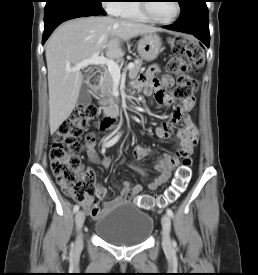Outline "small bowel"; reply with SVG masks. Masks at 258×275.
<instances>
[{"label":"small bowel","instance_id":"small-bowel-1","mask_svg":"<svg viewBox=\"0 0 258 275\" xmlns=\"http://www.w3.org/2000/svg\"><path fill=\"white\" fill-rule=\"evenodd\" d=\"M159 72V66L152 65L147 69L141 78L133 82L132 86L134 88L141 87L145 95H149L155 91L158 103L162 106H169L172 103V99L166 90L173 86L174 79L170 75H164L159 81L157 78ZM193 105L194 98H190L189 100L184 101L180 106L174 109L167 122L156 128V135L159 138L167 139L170 137L169 128L179 121L183 122V126L178 129L176 133L177 138L181 142V146L174 154L164 153L158 157L155 164V169L159 174L149 183V190H156L161 185L167 183L171 177L173 169L179 164L180 158L190 155L196 146L198 140V130L189 116V111L192 109ZM111 125L107 128H99V130H107L111 127ZM95 146V138L87 139L86 153L89 160L93 163L101 164L103 167L108 168L111 164V159L108 157H104L102 159L99 158ZM150 154L151 150L147 147L142 145H136L134 147V158L136 161H139L149 156ZM129 165L143 178L147 177L148 174L144 167L136 162H130ZM142 191L143 187L140 184L132 185L125 180L122 182V197H117L111 201L105 202L103 209H101L98 202L94 201L92 198L81 202V205L87 213H89L93 218L97 219L102 217L106 212L122 204L124 201H132ZM106 193V188L101 184H97L95 194L96 198L101 200L106 196Z\"/></svg>","mask_w":258,"mask_h":275}]
</instances>
